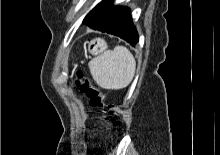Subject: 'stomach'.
I'll use <instances>...</instances> for the list:
<instances>
[{"label":"stomach","mask_w":220,"mask_h":155,"mask_svg":"<svg viewBox=\"0 0 220 155\" xmlns=\"http://www.w3.org/2000/svg\"><path fill=\"white\" fill-rule=\"evenodd\" d=\"M92 43H96V45L93 47L91 51L95 55L100 52H103L107 48L106 42L100 38L95 39Z\"/></svg>","instance_id":"stomach-1"}]
</instances>
